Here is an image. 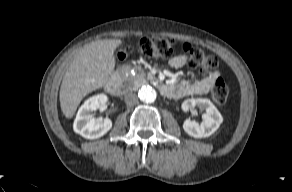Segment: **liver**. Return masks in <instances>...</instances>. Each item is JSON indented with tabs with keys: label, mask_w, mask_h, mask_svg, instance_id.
Segmentation results:
<instances>
[{
	"label": "liver",
	"mask_w": 292,
	"mask_h": 192,
	"mask_svg": "<svg viewBox=\"0 0 292 192\" xmlns=\"http://www.w3.org/2000/svg\"><path fill=\"white\" fill-rule=\"evenodd\" d=\"M120 39L99 40L85 45L69 65L60 88L61 110L72 118L82 99L103 87L115 68L114 50Z\"/></svg>",
	"instance_id": "obj_1"
}]
</instances>
